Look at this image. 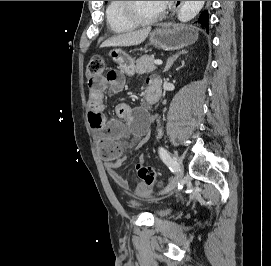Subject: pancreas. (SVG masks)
<instances>
[{
	"mask_svg": "<svg viewBox=\"0 0 271 266\" xmlns=\"http://www.w3.org/2000/svg\"><path fill=\"white\" fill-rule=\"evenodd\" d=\"M153 61H154V56L153 55H144V56H141L136 61L135 71L138 74L152 72L153 70L156 69V67L153 64Z\"/></svg>",
	"mask_w": 271,
	"mask_h": 266,
	"instance_id": "1",
	"label": "pancreas"
}]
</instances>
